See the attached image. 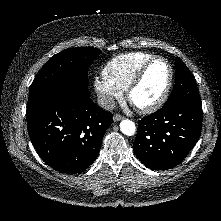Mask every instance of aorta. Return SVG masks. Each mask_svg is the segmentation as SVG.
Masks as SVG:
<instances>
[{
	"label": "aorta",
	"instance_id": "1",
	"mask_svg": "<svg viewBox=\"0 0 221 221\" xmlns=\"http://www.w3.org/2000/svg\"><path fill=\"white\" fill-rule=\"evenodd\" d=\"M120 130L127 136H132L136 132V126L133 121L129 119L122 120L120 123Z\"/></svg>",
	"mask_w": 221,
	"mask_h": 221
}]
</instances>
